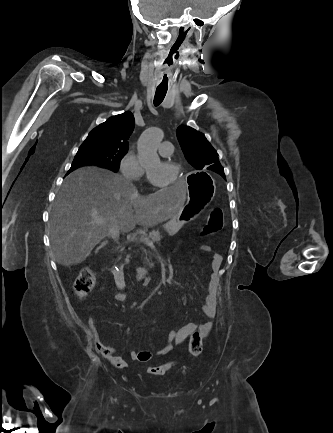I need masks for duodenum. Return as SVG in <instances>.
Listing matches in <instances>:
<instances>
[{
  "instance_id": "410a0bca",
  "label": "duodenum",
  "mask_w": 333,
  "mask_h": 433,
  "mask_svg": "<svg viewBox=\"0 0 333 433\" xmlns=\"http://www.w3.org/2000/svg\"><path fill=\"white\" fill-rule=\"evenodd\" d=\"M149 274V268L148 267H137L133 271V276L138 280L145 279Z\"/></svg>"
}]
</instances>
